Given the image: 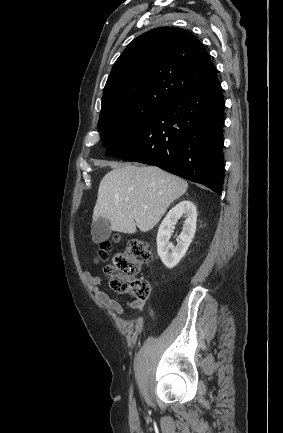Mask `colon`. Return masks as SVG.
Listing matches in <instances>:
<instances>
[{"instance_id":"colon-1","label":"colon","mask_w":283,"mask_h":433,"mask_svg":"<svg viewBox=\"0 0 283 433\" xmlns=\"http://www.w3.org/2000/svg\"><path fill=\"white\" fill-rule=\"evenodd\" d=\"M111 242L100 244L97 261H106L109 257ZM152 259L150 246L141 240H128L123 252L116 254L105 271L110 276L111 288L118 293H127L136 299H147L151 292L148 281L133 279L142 266Z\"/></svg>"}]
</instances>
